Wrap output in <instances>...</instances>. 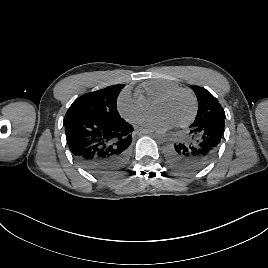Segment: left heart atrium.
<instances>
[{"instance_id":"39dd6f15","label":"left heart atrium","mask_w":268,"mask_h":268,"mask_svg":"<svg viewBox=\"0 0 268 268\" xmlns=\"http://www.w3.org/2000/svg\"><path fill=\"white\" fill-rule=\"evenodd\" d=\"M151 125L158 129H168L174 126L175 124L168 118L162 115H156L151 120Z\"/></svg>"}]
</instances>
